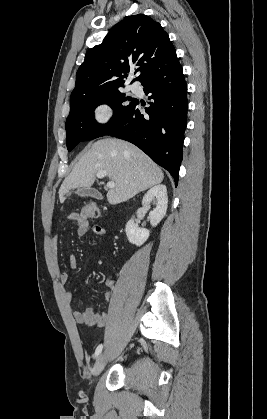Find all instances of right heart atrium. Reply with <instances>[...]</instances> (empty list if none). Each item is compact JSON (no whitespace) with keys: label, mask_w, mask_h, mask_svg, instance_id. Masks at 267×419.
Masks as SVG:
<instances>
[{"label":"right heart atrium","mask_w":267,"mask_h":419,"mask_svg":"<svg viewBox=\"0 0 267 419\" xmlns=\"http://www.w3.org/2000/svg\"><path fill=\"white\" fill-rule=\"evenodd\" d=\"M93 115L99 125H105L111 120L113 109L108 103H99L93 108Z\"/></svg>","instance_id":"d8ad5b80"}]
</instances>
